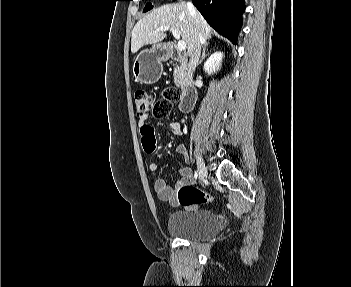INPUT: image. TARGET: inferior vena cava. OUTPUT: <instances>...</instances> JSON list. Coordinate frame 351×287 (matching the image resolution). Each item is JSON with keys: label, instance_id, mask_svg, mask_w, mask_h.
Segmentation results:
<instances>
[{"label": "inferior vena cava", "instance_id": "602c4592", "mask_svg": "<svg viewBox=\"0 0 351 287\" xmlns=\"http://www.w3.org/2000/svg\"><path fill=\"white\" fill-rule=\"evenodd\" d=\"M187 8H188L190 14L194 16L196 21H198V12H197L196 8L194 7V5L192 4V2L187 3ZM204 43H205V39H204L203 35L198 34L196 45H195L193 53L190 56L189 65H188V68H189L188 76H189L190 80H192L193 72L195 71L196 66L198 64V61H199L201 47Z\"/></svg>", "mask_w": 351, "mask_h": 287}]
</instances>
